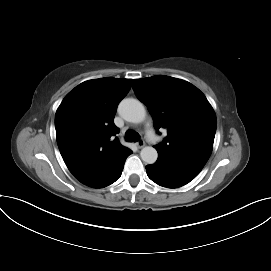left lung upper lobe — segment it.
I'll list each match as a JSON object with an SVG mask.
<instances>
[{
  "label": "left lung upper lobe",
  "instance_id": "obj_1",
  "mask_svg": "<svg viewBox=\"0 0 271 271\" xmlns=\"http://www.w3.org/2000/svg\"><path fill=\"white\" fill-rule=\"evenodd\" d=\"M133 89L151 113L155 129H167L155 148L205 165L216 132V115L205 95L187 81L164 75L135 79Z\"/></svg>",
  "mask_w": 271,
  "mask_h": 271
}]
</instances>
